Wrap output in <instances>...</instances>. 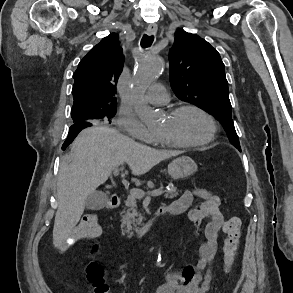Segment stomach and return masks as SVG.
Instances as JSON below:
<instances>
[{
    "mask_svg": "<svg viewBox=\"0 0 293 293\" xmlns=\"http://www.w3.org/2000/svg\"><path fill=\"white\" fill-rule=\"evenodd\" d=\"M196 171L197 164L188 156L176 158L168 165V174L174 180L188 178Z\"/></svg>",
    "mask_w": 293,
    "mask_h": 293,
    "instance_id": "0dacf381",
    "label": "stomach"
}]
</instances>
